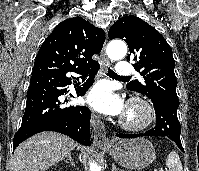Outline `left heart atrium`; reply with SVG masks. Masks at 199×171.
<instances>
[{"label":"left heart atrium","mask_w":199,"mask_h":171,"mask_svg":"<svg viewBox=\"0 0 199 171\" xmlns=\"http://www.w3.org/2000/svg\"><path fill=\"white\" fill-rule=\"evenodd\" d=\"M87 102L94 109L110 115L119 114L123 108L119 97L113 94L110 86L105 83L97 84L91 89Z\"/></svg>","instance_id":"obj_1"}]
</instances>
